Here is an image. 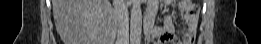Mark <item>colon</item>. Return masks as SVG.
Instances as JSON below:
<instances>
[{"label":"colon","mask_w":261,"mask_h":44,"mask_svg":"<svg viewBox=\"0 0 261 44\" xmlns=\"http://www.w3.org/2000/svg\"><path fill=\"white\" fill-rule=\"evenodd\" d=\"M180 5L181 6H192V1H181Z\"/></svg>","instance_id":"1"}]
</instances>
